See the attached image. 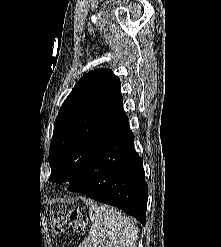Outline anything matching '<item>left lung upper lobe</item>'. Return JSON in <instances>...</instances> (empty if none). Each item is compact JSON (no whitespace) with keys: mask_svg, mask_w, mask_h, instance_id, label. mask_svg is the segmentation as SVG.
Here are the masks:
<instances>
[{"mask_svg":"<svg viewBox=\"0 0 221 247\" xmlns=\"http://www.w3.org/2000/svg\"><path fill=\"white\" fill-rule=\"evenodd\" d=\"M120 86L119 77L106 68L90 71L76 83L55 120L50 181L73 183L105 130L127 117Z\"/></svg>","mask_w":221,"mask_h":247,"instance_id":"obj_1","label":"left lung upper lobe"}]
</instances>
